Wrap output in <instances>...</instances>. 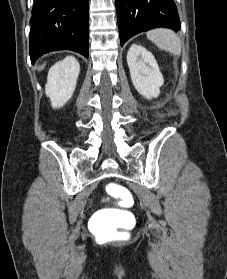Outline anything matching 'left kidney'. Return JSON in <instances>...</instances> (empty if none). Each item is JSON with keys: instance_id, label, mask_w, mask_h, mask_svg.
Instances as JSON below:
<instances>
[{"instance_id": "5707ae66", "label": "left kidney", "mask_w": 227, "mask_h": 279, "mask_svg": "<svg viewBox=\"0 0 227 279\" xmlns=\"http://www.w3.org/2000/svg\"><path fill=\"white\" fill-rule=\"evenodd\" d=\"M127 63L135 89L147 99L157 98L164 83L158 64L149 51L141 45H131Z\"/></svg>"}]
</instances>
